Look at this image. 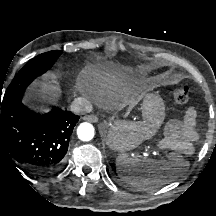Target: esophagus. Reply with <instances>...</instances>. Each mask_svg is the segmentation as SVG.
<instances>
[{
	"instance_id": "esophagus-1",
	"label": "esophagus",
	"mask_w": 216,
	"mask_h": 216,
	"mask_svg": "<svg viewBox=\"0 0 216 216\" xmlns=\"http://www.w3.org/2000/svg\"><path fill=\"white\" fill-rule=\"evenodd\" d=\"M84 120L95 123L98 121V116L96 114H90L83 117Z\"/></svg>"
}]
</instances>
